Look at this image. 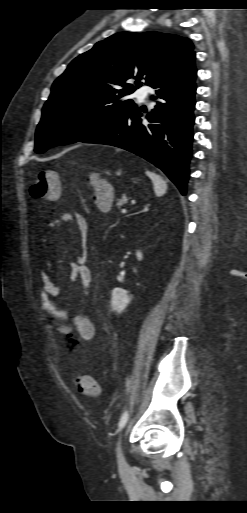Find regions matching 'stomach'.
<instances>
[{"label": "stomach", "instance_id": "0dacf381", "mask_svg": "<svg viewBox=\"0 0 247 513\" xmlns=\"http://www.w3.org/2000/svg\"><path fill=\"white\" fill-rule=\"evenodd\" d=\"M107 174H109V172H107ZM116 174H117V175H119V174H120V171L116 172Z\"/></svg>", "mask_w": 247, "mask_h": 513}]
</instances>
